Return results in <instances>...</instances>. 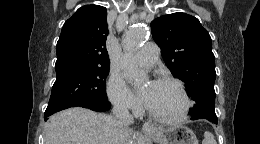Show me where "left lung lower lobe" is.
I'll return each mask as SVG.
<instances>
[{"mask_svg": "<svg viewBox=\"0 0 260 144\" xmlns=\"http://www.w3.org/2000/svg\"><path fill=\"white\" fill-rule=\"evenodd\" d=\"M199 119H206V120L213 122L214 124H217V117L216 116H204V117L199 118Z\"/></svg>", "mask_w": 260, "mask_h": 144, "instance_id": "1", "label": "left lung lower lobe"}]
</instances>
